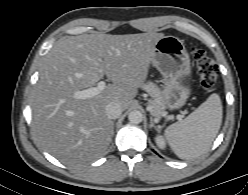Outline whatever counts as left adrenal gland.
Masks as SVG:
<instances>
[{
	"label": "left adrenal gland",
	"mask_w": 248,
	"mask_h": 195,
	"mask_svg": "<svg viewBox=\"0 0 248 195\" xmlns=\"http://www.w3.org/2000/svg\"><path fill=\"white\" fill-rule=\"evenodd\" d=\"M150 128H155L157 131H159L158 127L155 126L154 122H153V118L150 117V125H149Z\"/></svg>",
	"instance_id": "obj_1"
}]
</instances>
